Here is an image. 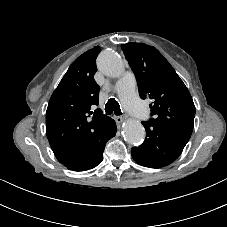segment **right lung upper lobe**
I'll use <instances>...</instances> for the list:
<instances>
[{"label":"right lung upper lobe","instance_id":"right-lung-upper-lobe-1","mask_svg":"<svg viewBox=\"0 0 227 227\" xmlns=\"http://www.w3.org/2000/svg\"><path fill=\"white\" fill-rule=\"evenodd\" d=\"M99 52L96 46L80 55L49 100L46 134L60 163L91 149L111 119L101 109L90 110L99 103L100 87L94 80Z\"/></svg>","mask_w":227,"mask_h":227}]
</instances>
